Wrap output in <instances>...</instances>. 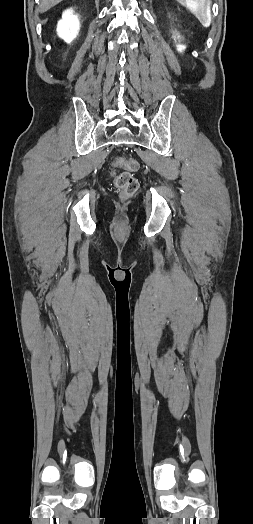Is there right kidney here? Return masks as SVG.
<instances>
[{
	"instance_id": "1",
	"label": "right kidney",
	"mask_w": 253,
	"mask_h": 524,
	"mask_svg": "<svg viewBox=\"0 0 253 524\" xmlns=\"http://www.w3.org/2000/svg\"><path fill=\"white\" fill-rule=\"evenodd\" d=\"M80 30V22L77 15L73 14L72 9H67L62 19L58 22L57 33L67 43L76 38Z\"/></svg>"
}]
</instances>
